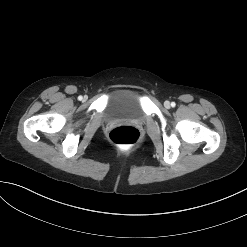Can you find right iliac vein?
<instances>
[{
    "instance_id": "right-iliac-vein-1",
    "label": "right iliac vein",
    "mask_w": 247,
    "mask_h": 247,
    "mask_svg": "<svg viewBox=\"0 0 247 247\" xmlns=\"http://www.w3.org/2000/svg\"><path fill=\"white\" fill-rule=\"evenodd\" d=\"M86 100H87V96H84L83 101H86Z\"/></svg>"
}]
</instances>
